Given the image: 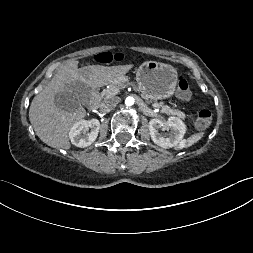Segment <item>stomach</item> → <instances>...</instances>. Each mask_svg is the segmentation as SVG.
Listing matches in <instances>:
<instances>
[{"instance_id":"1","label":"stomach","mask_w":253,"mask_h":253,"mask_svg":"<svg viewBox=\"0 0 253 253\" xmlns=\"http://www.w3.org/2000/svg\"><path fill=\"white\" fill-rule=\"evenodd\" d=\"M136 81L145 97L154 100L166 99L175 93L178 73L172 65L146 61L137 69Z\"/></svg>"}]
</instances>
